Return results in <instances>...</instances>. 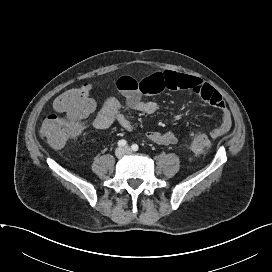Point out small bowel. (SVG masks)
Returning <instances> with one entry per match:
<instances>
[{"instance_id":"obj_1","label":"small bowel","mask_w":272,"mask_h":272,"mask_svg":"<svg viewBox=\"0 0 272 272\" xmlns=\"http://www.w3.org/2000/svg\"><path fill=\"white\" fill-rule=\"evenodd\" d=\"M117 89L126 99L129 108L144 113L154 114L159 106L156 102L146 100L144 95L157 94L164 90H188L198 95L204 102L218 109L221 113V124L211 131L213 138L220 137L231 128V115L221 94L211 85L194 76L173 71L156 72L141 79L123 75L116 81ZM118 123L127 131L132 130L130 120L122 113L121 102L113 97H107L93 119V126L104 130L112 124ZM146 137L163 146H170L178 141L177 135L172 132H147Z\"/></svg>"}]
</instances>
